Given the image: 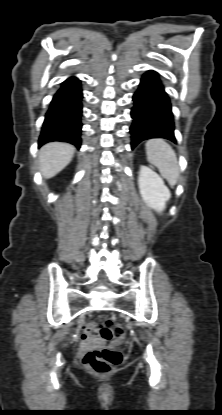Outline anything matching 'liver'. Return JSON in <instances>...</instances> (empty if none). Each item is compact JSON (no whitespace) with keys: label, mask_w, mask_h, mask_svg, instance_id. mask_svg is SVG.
Segmentation results:
<instances>
[{"label":"liver","mask_w":222,"mask_h":415,"mask_svg":"<svg viewBox=\"0 0 222 415\" xmlns=\"http://www.w3.org/2000/svg\"><path fill=\"white\" fill-rule=\"evenodd\" d=\"M75 147L69 143L51 142L39 152V167L45 178H52L72 160Z\"/></svg>","instance_id":"1"}]
</instances>
